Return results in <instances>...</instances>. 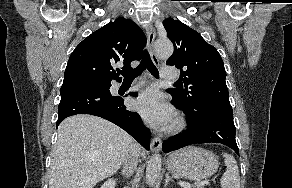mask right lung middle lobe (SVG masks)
<instances>
[{"label":"right lung middle lobe","mask_w":292,"mask_h":188,"mask_svg":"<svg viewBox=\"0 0 292 188\" xmlns=\"http://www.w3.org/2000/svg\"><path fill=\"white\" fill-rule=\"evenodd\" d=\"M70 82H78V83H84L90 86H95L98 88H107L110 86V81L102 80V79H76V80H69L64 81L63 83H70Z\"/></svg>","instance_id":"1"}]
</instances>
